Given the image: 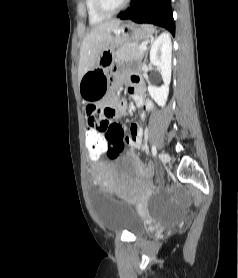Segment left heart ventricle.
<instances>
[{
	"label": "left heart ventricle",
	"instance_id": "left-heart-ventricle-1",
	"mask_svg": "<svg viewBox=\"0 0 238 278\" xmlns=\"http://www.w3.org/2000/svg\"><path fill=\"white\" fill-rule=\"evenodd\" d=\"M105 1L109 7L113 8L118 6L123 0H105Z\"/></svg>",
	"mask_w": 238,
	"mask_h": 278
}]
</instances>
